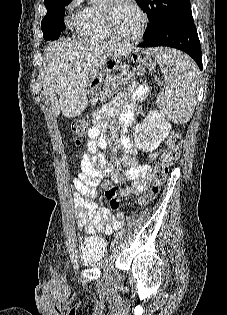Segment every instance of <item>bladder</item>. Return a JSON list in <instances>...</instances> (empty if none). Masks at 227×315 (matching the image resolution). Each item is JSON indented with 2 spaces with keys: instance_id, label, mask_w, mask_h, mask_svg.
<instances>
[{
  "instance_id": "obj_1",
  "label": "bladder",
  "mask_w": 227,
  "mask_h": 315,
  "mask_svg": "<svg viewBox=\"0 0 227 315\" xmlns=\"http://www.w3.org/2000/svg\"><path fill=\"white\" fill-rule=\"evenodd\" d=\"M107 255V242L100 237H87L82 244L81 261L91 266L102 262Z\"/></svg>"
}]
</instances>
